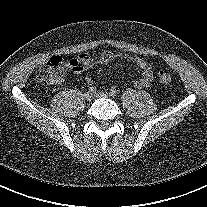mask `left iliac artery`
Returning a JSON list of instances; mask_svg holds the SVG:
<instances>
[{"label":"left iliac artery","instance_id":"1","mask_svg":"<svg viewBox=\"0 0 207 207\" xmlns=\"http://www.w3.org/2000/svg\"><path fill=\"white\" fill-rule=\"evenodd\" d=\"M112 96H116L117 95V91L115 89H111L109 92Z\"/></svg>","mask_w":207,"mask_h":207}]
</instances>
